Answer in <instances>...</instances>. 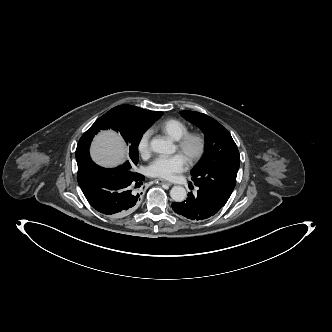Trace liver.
Here are the masks:
<instances>
[{
  "mask_svg": "<svg viewBox=\"0 0 332 332\" xmlns=\"http://www.w3.org/2000/svg\"><path fill=\"white\" fill-rule=\"evenodd\" d=\"M93 161L104 167L119 164L125 156L122 138L113 131H104L95 137L91 147Z\"/></svg>",
  "mask_w": 332,
  "mask_h": 332,
  "instance_id": "6515ba94",
  "label": "liver"
}]
</instances>
